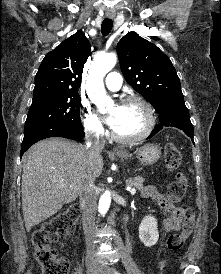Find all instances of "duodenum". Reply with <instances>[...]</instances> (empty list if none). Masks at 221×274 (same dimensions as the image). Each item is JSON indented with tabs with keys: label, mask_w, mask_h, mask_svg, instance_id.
Listing matches in <instances>:
<instances>
[{
	"label": "duodenum",
	"mask_w": 221,
	"mask_h": 274,
	"mask_svg": "<svg viewBox=\"0 0 221 274\" xmlns=\"http://www.w3.org/2000/svg\"><path fill=\"white\" fill-rule=\"evenodd\" d=\"M127 221H128V215H125V216L123 217V222L126 223Z\"/></svg>",
	"instance_id": "obj_1"
}]
</instances>
